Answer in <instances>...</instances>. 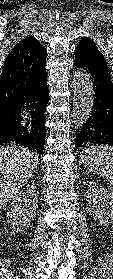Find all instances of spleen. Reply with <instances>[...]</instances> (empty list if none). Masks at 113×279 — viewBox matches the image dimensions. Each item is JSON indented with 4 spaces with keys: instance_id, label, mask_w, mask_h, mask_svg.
<instances>
[{
    "instance_id": "1",
    "label": "spleen",
    "mask_w": 113,
    "mask_h": 279,
    "mask_svg": "<svg viewBox=\"0 0 113 279\" xmlns=\"http://www.w3.org/2000/svg\"><path fill=\"white\" fill-rule=\"evenodd\" d=\"M81 163L90 172L106 178L113 192V147L108 145H91L81 152Z\"/></svg>"
}]
</instances>
